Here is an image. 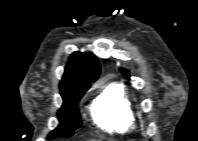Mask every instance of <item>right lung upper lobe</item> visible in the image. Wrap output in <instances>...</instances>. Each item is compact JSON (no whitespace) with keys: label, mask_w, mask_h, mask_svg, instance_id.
Listing matches in <instances>:
<instances>
[{"label":"right lung upper lobe","mask_w":198,"mask_h":141,"mask_svg":"<svg viewBox=\"0 0 198 141\" xmlns=\"http://www.w3.org/2000/svg\"><path fill=\"white\" fill-rule=\"evenodd\" d=\"M99 74L100 66L93 54L75 52L66 65L60 87L90 84Z\"/></svg>","instance_id":"right-lung-upper-lobe-1"}]
</instances>
